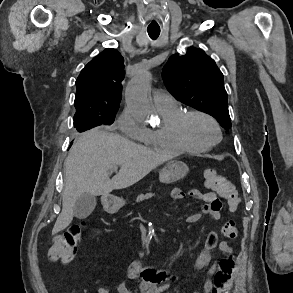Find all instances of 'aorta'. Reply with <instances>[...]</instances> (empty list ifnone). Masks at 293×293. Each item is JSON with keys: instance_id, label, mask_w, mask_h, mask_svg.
Returning a JSON list of instances; mask_svg holds the SVG:
<instances>
[{"instance_id": "1", "label": "aorta", "mask_w": 293, "mask_h": 293, "mask_svg": "<svg viewBox=\"0 0 293 293\" xmlns=\"http://www.w3.org/2000/svg\"><path fill=\"white\" fill-rule=\"evenodd\" d=\"M151 75L144 71L136 75L126 88V99L130 110L142 120H151L153 108L149 98Z\"/></svg>"}]
</instances>
